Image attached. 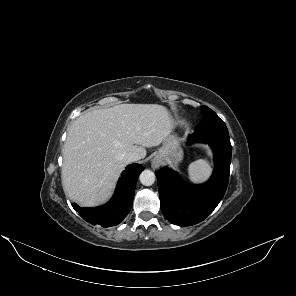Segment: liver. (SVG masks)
Masks as SVG:
<instances>
[{
	"label": "liver",
	"mask_w": 296,
	"mask_h": 296,
	"mask_svg": "<svg viewBox=\"0 0 296 296\" xmlns=\"http://www.w3.org/2000/svg\"><path fill=\"white\" fill-rule=\"evenodd\" d=\"M175 127L166 107L120 104L87 112L70 126L63 149L62 184L82 206L104 202L127 164L123 155L159 146Z\"/></svg>",
	"instance_id": "obj_1"
}]
</instances>
